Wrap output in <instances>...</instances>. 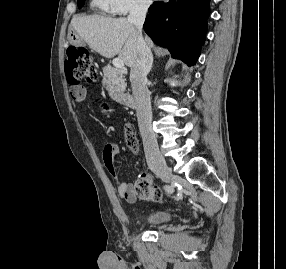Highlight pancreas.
Segmentation results:
<instances>
[{
  "instance_id": "1",
  "label": "pancreas",
  "mask_w": 286,
  "mask_h": 269,
  "mask_svg": "<svg viewBox=\"0 0 286 269\" xmlns=\"http://www.w3.org/2000/svg\"><path fill=\"white\" fill-rule=\"evenodd\" d=\"M103 85L110 97L116 101H121L124 97L126 83L122 72L110 65L103 68Z\"/></svg>"
}]
</instances>
